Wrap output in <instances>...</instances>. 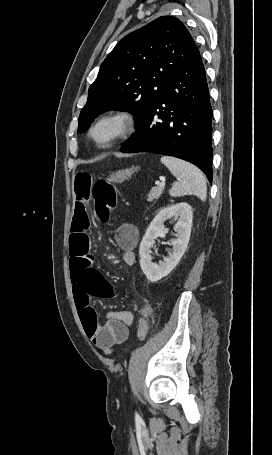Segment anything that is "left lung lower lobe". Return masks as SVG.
<instances>
[{"mask_svg":"<svg viewBox=\"0 0 272 455\" xmlns=\"http://www.w3.org/2000/svg\"><path fill=\"white\" fill-rule=\"evenodd\" d=\"M212 107L200 54L177 70L145 118L120 149L174 156L199 167L212 181Z\"/></svg>","mask_w":272,"mask_h":455,"instance_id":"0a47b994","label":"left lung lower lobe"}]
</instances>
